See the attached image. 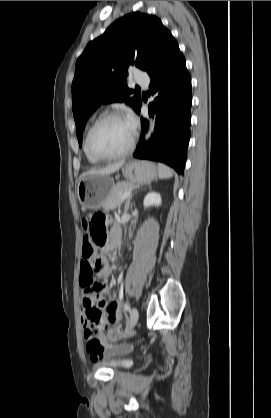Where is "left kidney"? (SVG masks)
Wrapping results in <instances>:
<instances>
[{
  "mask_svg": "<svg viewBox=\"0 0 271 418\" xmlns=\"http://www.w3.org/2000/svg\"><path fill=\"white\" fill-rule=\"evenodd\" d=\"M143 205L145 208L149 206H159L161 205V196L159 193L156 192H149L143 201Z\"/></svg>",
  "mask_w": 271,
  "mask_h": 418,
  "instance_id": "obj_1",
  "label": "left kidney"
}]
</instances>
